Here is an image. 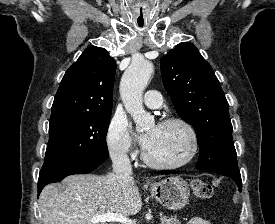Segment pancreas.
<instances>
[{
  "label": "pancreas",
  "instance_id": "pancreas-1",
  "mask_svg": "<svg viewBox=\"0 0 275 224\" xmlns=\"http://www.w3.org/2000/svg\"><path fill=\"white\" fill-rule=\"evenodd\" d=\"M161 223L162 224H181L180 220L177 217H166V216H161L160 217Z\"/></svg>",
  "mask_w": 275,
  "mask_h": 224
}]
</instances>
